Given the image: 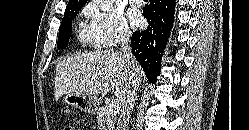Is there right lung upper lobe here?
<instances>
[{
	"label": "right lung upper lobe",
	"mask_w": 249,
	"mask_h": 130,
	"mask_svg": "<svg viewBox=\"0 0 249 130\" xmlns=\"http://www.w3.org/2000/svg\"><path fill=\"white\" fill-rule=\"evenodd\" d=\"M87 0H69L68 5H79L84 6Z\"/></svg>",
	"instance_id": "obj_1"
}]
</instances>
